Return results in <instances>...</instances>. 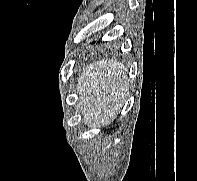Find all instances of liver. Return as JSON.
Masks as SVG:
<instances>
[{"label": "liver", "mask_w": 197, "mask_h": 181, "mask_svg": "<svg viewBox=\"0 0 197 181\" xmlns=\"http://www.w3.org/2000/svg\"><path fill=\"white\" fill-rule=\"evenodd\" d=\"M129 88L127 68L116 59H99L83 68L77 81L79 107L87 126L110 124Z\"/></svg>", "instance_id": "6515ba94"}]
</instances>
